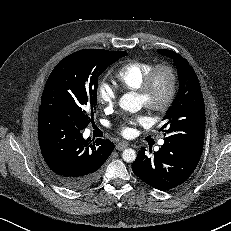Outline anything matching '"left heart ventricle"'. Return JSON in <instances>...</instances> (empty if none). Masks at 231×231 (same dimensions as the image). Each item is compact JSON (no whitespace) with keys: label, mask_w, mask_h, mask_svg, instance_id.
I'll return each instance as SVG.
<instances>
[{"label":"left heart ventricle","mask_w":231,"mask_h":231,"mask_svg":"<svg viewBox=\"0 0 231 231\" xmlns=\"http://www.w3.org/2000/svg\"><path fill=\"white\" fill-rule=\"evenodd\" d=\"M169 79L165 72H161L157 75L155 85L152 91V98L156 102L162 101L168 91ZM140 104H143V99L141 97H137Z\"/></svg>","instance_id":"1"}]
</instances>
